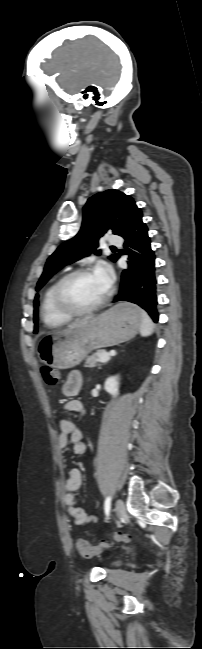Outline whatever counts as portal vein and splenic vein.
<instances>
[{"label": "portal vein and splenic vein", "mask_w": 202, "mask_h": 649, "mask_svg": "<svg viewBox=\"0 0 202 649\" xmlns=\"http://www.w3.org/2000/svg\"><path fill=\"white\" fill-rule=\"evenodd\" d=\"M112 354L115 355V352L111 351L109 354L101 353L99 355V361L102 362V363L108 362L110 360V355H112Z\"/></svg>", "instance_id": "portal-vein-and-splenic-vein-1"}]
</instances>
